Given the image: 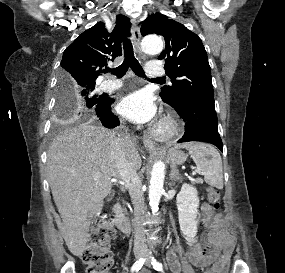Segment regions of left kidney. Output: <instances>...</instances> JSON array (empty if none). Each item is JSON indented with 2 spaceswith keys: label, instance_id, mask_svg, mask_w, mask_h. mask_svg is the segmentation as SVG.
<instances>
[{
  "label": "left kidney",
  "instance_id": "left-kidney-1",
  "mask_svg": "<svg viewBox=\"0 0 285 273\" xmlns=\"http://www.w3.org/2000/svg\"><path fill=\"white\" fill-rule=\"evenodd\" d=\"M180 230L192 242L197 234L199 198L196 188L183 184L176 197Z\"/></svg>",
  "mask_w": 285,
  "mask_h": 273
}]
</instances>
